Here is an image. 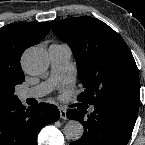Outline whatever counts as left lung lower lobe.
I'll return each mask as SVG.
<instances>
[{
  "instance_id": "obj_1",
  "label": "left lung lower lobe",
  "mask_w": 145,
  "mask_h": 145,
  "mask_svg": "<svg viewBox=\"0 0 145 145\" xmlns=\"http://www.w3.org/2000/svg\"><path fill=\"white\" fill-rule=\"evenodd\" d=\"M140 100L120 99L94 104V111L71 109L70 120L84 126L83 136L70 145H126L129 141L139 110Z\"/></svg>"
}]
</instances>
